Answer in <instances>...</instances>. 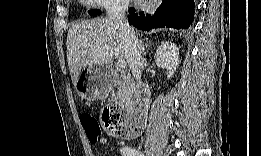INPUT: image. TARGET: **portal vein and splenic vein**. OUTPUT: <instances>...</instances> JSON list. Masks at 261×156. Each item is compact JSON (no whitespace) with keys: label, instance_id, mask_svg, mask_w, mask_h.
Returning <instances> with one entry per match:
<instances>
[{"label":"portal vein and splenic vein","instance_id":"obj_1","mask_svg":"<svg viewBox=\"0 0 261 156\" xmlns=\"http://www.w3.org/2000/svg\"><path fill=\"white\" fill-rule=\"evenodd\" d=\"M118 66H119L121 69L125 68V67H126V62H125V60H124V59H119V60H118Z\"/></svg>","mask_w":261,"mask_h":156}]
</instances>
